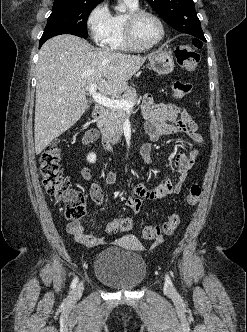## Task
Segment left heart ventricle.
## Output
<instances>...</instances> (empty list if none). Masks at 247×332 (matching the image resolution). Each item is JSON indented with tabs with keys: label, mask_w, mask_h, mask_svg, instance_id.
<instances>
[{
	"label": "left heart ventricle",
	"mask_w": 247,
	"mask_h": 332,
	"mask_svg": "<svg viewBox=\"0 0 247 332\" xmlns=\"http://www.w3.org/2000/svg\"><path fill=\"white\" fill-rule=\"evenodd\" d=\"M134 35L138 43L141 45H149L159 39L161 29L158 22L153 17L144 15L136 22Z\"/></svg>",
	"instance_id": "1"
}]
</instances>
